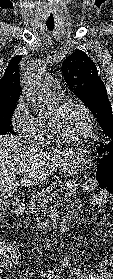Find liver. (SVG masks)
<instances>
[{
	"label": "liver",
	"mask_w": 113,
	"mask_h": 279,
	"mask_svg": "<svg viewBox=\"0 0 113 279\" xmlns=\"http://www.w3.org/2000/svg\"><path fill=\"white\" fill-rule=\"evenodd\" d=\"M71 153L70 149L44 152L24 145L16 136L0 135V207L5 198L17 191L19 185L39 184ZM19 171L23 172L20 181L16 179Z\"/></svg>",
	"instance_id": "1"
}]
</instances>
